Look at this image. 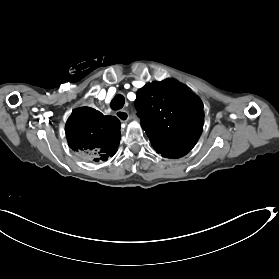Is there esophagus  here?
Instances as JSON below:
<instances>
[{
	"instance_id": "1",
	"label": "esophagus",
	"mask_w": 279,
	"mask_h": 279,
	"mask_svg": "<svg viewBox=\"0 0 279 279\" xmlns=\"http://www.w3.org/2000/svg\"><path fill=\"white\" fill-rule=\"evenodd\" d=\"M115 116L121 122H127L129 120V113L126 110H118L115 112Z\"/></svg>"
}]
</instances>
